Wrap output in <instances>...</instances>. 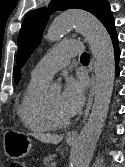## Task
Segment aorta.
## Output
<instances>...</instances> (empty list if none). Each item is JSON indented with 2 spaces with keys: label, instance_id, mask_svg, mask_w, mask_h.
Instances as JSON below:
<instances>
[{
  "label": "aorta",
  "instance_id": "1",
  "mask_svg": "<svg viewBox=\"0 0 125 167\" xmlns=\"http://www.w3.org/2000/svg\"><path fill=\"white\" fill-rule=\"evenodd\" d=\"M73 27L87 39L95 59V99L89 119L71 155L72 167H89L113 92L115 56L105 27L93 15L82 11L66 12L58 16L49 27L46 39L50 42L58 41Z\"/></svg>",
  "mask_w": 125,
  "mask_h": 167
}]
</instances>
